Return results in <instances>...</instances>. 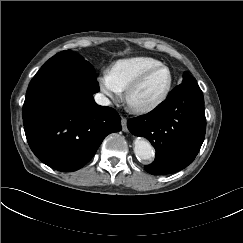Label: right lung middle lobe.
I'll list each match as a JSON object with an SVG mask.
<instances>
[{"label":"right lung middle lobe","instance_id":"obj_1","mask_svg":"<svg viewBox=\"0 0 243 243\" xmlns=\"http://www.w3.org/2000/svg\"><path fill=\"white\" fill-rule=\"evenodd\" d=\"M71 74L96 78L92 65L81 56L70 50H64L50 58L37 72L39 75Z\"/></svg>","mask_w":243,"mask_h":243}]
</instances>
